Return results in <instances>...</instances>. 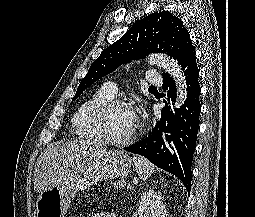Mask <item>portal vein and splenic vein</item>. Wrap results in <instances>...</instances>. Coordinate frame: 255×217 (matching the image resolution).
<instances>
[{
	"label": "portal vein and splenic vein",
	"mask_w": 255,
	"mask_h": 217,
	"mask_svg": "<svg viewBox=\"0 0 255 217\" xmlns=\"http://www.w3.org/2000/svg\"><path fill=\"white\" fill-rule=\"evenodd\" d=\"M127 189H128V190H131V189H132V186H131V185H127Z\"/></svg>",
	"instance_id": "obj_1"
}]
</instances>
